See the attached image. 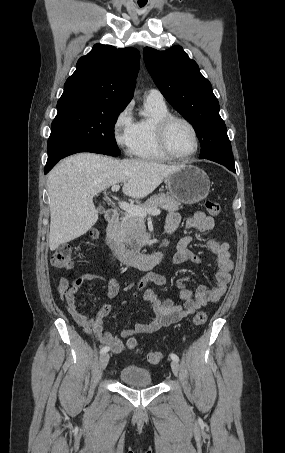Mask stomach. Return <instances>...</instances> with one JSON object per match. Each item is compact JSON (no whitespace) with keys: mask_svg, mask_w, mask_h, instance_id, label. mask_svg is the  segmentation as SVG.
Instances as JSON below:
<instances>
[{"mask_svg":"<svg viewBox=\"0 0 285 453\" xmlns=\"http://www.w3.org/2000/svg\"><path fill=\"white\" fill-rule=\"evenodd\" d=\"M167 186L175 200L191 205L208 196L211 183L204 170L193 165H182L167 176Z\"/></svg>","mask_w":285,"mask_h":453,"instance_id":"0dacf381","label":"stomach"}]
</instances>
